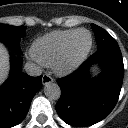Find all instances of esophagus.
Masks as SVG:
<instances>
[{
    "label": "esophagus",
    "mask_w": 128,
    "mask_h": 128,
    "mask_svg": "<svg viewBox=\"0 0 128 128\" xmlns=\"http://www.w3.org/2000/svg\"><path fill=\"white\" fill-rule=\"evenodd\" d=\"M53 82V79L51 76H49L48 74H44L42 77V83L43 85H47Z\"/></svg>",
    "instance_id": "34e87169"
}]
</instances>
